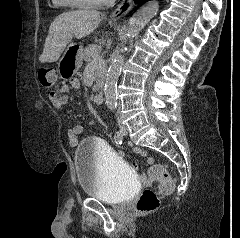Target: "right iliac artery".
Wrapping results in <instances>:
<instances>
[{"mask_svg":"<svg viewBox=\"0 0 240 238\" xmlns=\"http://www.w3.org/2000/svg\"><path fill=\"white\" fill-rule=\"evenodd\" d=\"M114 141L116 144H121L123 141V133L121 131H117L114 135Z\"/></svg>","mask_w":240,"mask_h":238,"instance_id":"obj_1","label":"right iliac artery"}]
</instances>
